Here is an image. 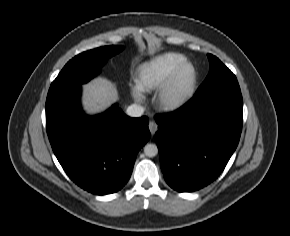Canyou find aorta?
<instances>
[{"mask_svg": "<svg viewBox=\"0 0 290 236\" xmlns=\"http://www.w3.org/2000/svg\"><path fill=\"white\" fill-rule=\"evenodd\" d=\"M144 153L147 157H154L158 154V148L155 144L148 143L144 146Z\"/></svg>", "mask_w": 290, "mask_h": 236, "instance_id": "762f6f07", "label": "aorta"}]
</instances>
